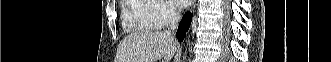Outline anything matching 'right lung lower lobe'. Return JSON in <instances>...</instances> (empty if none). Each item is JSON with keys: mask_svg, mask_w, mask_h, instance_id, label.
Here are the masks:
<instances>
[{"mask_svg": "<svg viewBox=\"0 0 331 62\" xmlns=\"http://www.w3.org/2000/svg\"><path fill=\"white\" fill-rule=\"evenodd\" d=\"M191 20H192L191 13L188 12L183 16V18L179 24L178 30H177V39L180 42H182L183 39L185 38L186 32L190 26Z\"/></svg>", "mask_w": 331, "mask_h": 62, "instance_id": "obj_1", "label": "right lung lower lobe"}]
</instances>
